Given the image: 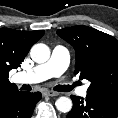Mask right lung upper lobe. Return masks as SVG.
Masks as SVG:
<instances>
[{
	"instance_id": "1",
	"label": "right lung upper lobe",
	"mask_w": 118,
	"mask_h": 118,
	"mask_svg": "<svg viewBox=\"0 0 118 118\" xmlns=\"http://www.w3.org/2000/svg\"><path fill=\"white\" fill-rule=\"evenodd\" d=\"M44 30L20 31L0 28V99L20 92L8 80L9 71L17 68Z\"/></svg>"
}]
</instances>
